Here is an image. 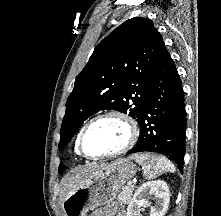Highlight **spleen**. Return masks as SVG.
Instances as JSON below:
<instances>
[{
	"label": "spleen",
	"instance_id": "obj_1",
	"mask_svg": "<svg viewBox=\"0 0 221 216\" xmlns=\"http://www.w3.org/2000/svg\"><path fill=\"white\" fill-rule=\"evenodd\" d=\"M142 166L143 175L145 179H154L163 174L164 172L175 171L172 163L165 157H157L147 153L134 154L130 157Z\"/></svg>",
	"mask_w": 221,
	"mask_h": 216
}]
</instances>
